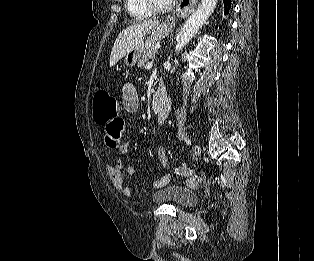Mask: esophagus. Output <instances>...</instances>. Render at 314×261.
<instances>
[{"instance_id":"34e87169","label":"esophagus","mask_w":314,"mask_h":261,"mask_svg":"<svg viewBox=\"0 0 314 261\" xmlns=\"http://www.w3.org/2000/svg\"><path fill=\"white\" fill-rule=\"evenodd\" d=\"M197 2L198 0H190V3L188 5L180 3L176 11L178 14L187 16L193 11L194 7L197 5Z\"/></svg>"}]
</instances>
